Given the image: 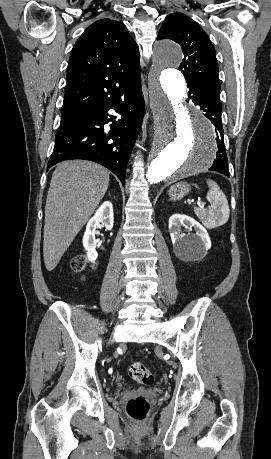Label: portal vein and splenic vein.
<instances>
[{"label": "portal vein and splenic vein", "instance_id": "18ae733b", "mask_svg": "<svg viewBox=\"0 0 271 459\" xmlns=\"http://www.w3.org/2000/svg\"><path fill=\"white\" fill-rule=\"evenodd\" d=\"M202 206H204V204H200V208H202Z\"/></svg>", "mask_w": 271, "mask_h": 459}]
</instances>
